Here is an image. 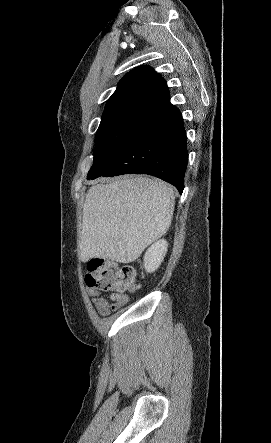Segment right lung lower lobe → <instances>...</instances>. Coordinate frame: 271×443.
I'll return each instance as SVG.
<instances>
[{
  "label": "right lung lower lobe",
  "instance_id": "98d812e1",
  "mask_svg": "<svg viewBox=\"0 0 271 443\" xmlns=\"http://www.w3.org/2000/svg\"><path fill=\"white\" fill-rule=\"evenodd\" d=\"M188 163L186 133L180 111L169 100L154 105L124 137L111 160L87 179L148 174L184 189Z\"/></svg>",
  "mask_w": 271,
  "mask_h": 443
}]
</instances>
